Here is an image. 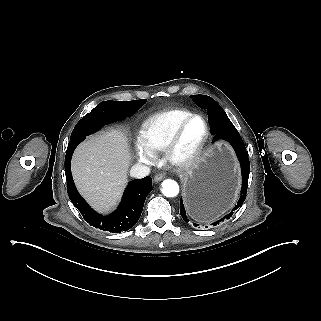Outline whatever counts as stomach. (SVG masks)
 I'll list each match as a JSON object with an SVG mask.
<instances>
[{"mask_svg":"<svg viewBox=\"0 0 321 321\" xmlns=\"http://www.w3.org/2000/svg\"><path fill=\"white\" fill-rule=\"evenodd\" d=\"M184 201L189 214L199 220L205 213L231 205L239 185L238 167L232 151L215 146L183 176Z\"/></svg>","mask_w":321,"mask_h":321,"instance_id":"1","label":"stomach"}]
</instances>
